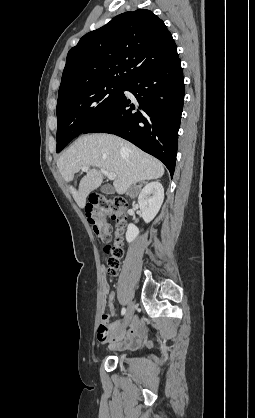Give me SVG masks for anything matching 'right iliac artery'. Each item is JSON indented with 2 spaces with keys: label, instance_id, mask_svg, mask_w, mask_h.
Segmentation results:
<instances>
[{
  "label": "right iliac artery",
  "instance_id": "obj_1",
  "mask_svg": "<svg viewBox=\"0 0 255 418\" xmlns=\"http://www.w3.org/2000/svg\"><path fill=\"white\" fill-rule=\"evenodd\" d=\"M125 313H126V308H122L121 314L125 315Z\"/></svg>",
  "mask_w": 255,
  "mask_h": 418
}]
</instances>
